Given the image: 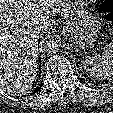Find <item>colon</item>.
I'll use <instances>...</instances> for the list:
<instances>
[{"label": "colon", "mask_w": 113, "mask_h": 113, "mask_svg": "<svg viewBox=\"0 0 113 113\" xmlns=\"http://www.w3.org/2000/svg\"><path fill=\"white\" fill-rule=\"evenodd\" d=\"M100 14L107 20H113V0H96Z\"/></svg>", "instance_id": "1"}]
</instances>
